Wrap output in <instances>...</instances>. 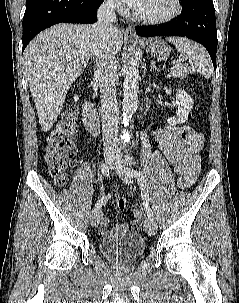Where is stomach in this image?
I'll return each mask as SVG.
<instances>
[{"label": "stomach", "instance_id": "stomach-1", "mask_svg": "<svg viewBox=\"0 0 239 303\" xmlns=\"http://www.w3.org/2000/svg\"><path fill=\"white\" fill-rule=\"evenodd\" d=\"M148 48L152 55L158 60H166L170 55V47L159 39L153 40Z\"/></svg>", "mask_w": 239, "mask_h": 303}]
</instances>
